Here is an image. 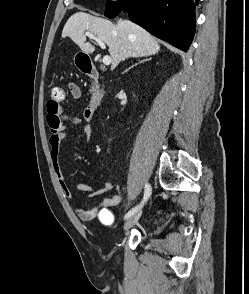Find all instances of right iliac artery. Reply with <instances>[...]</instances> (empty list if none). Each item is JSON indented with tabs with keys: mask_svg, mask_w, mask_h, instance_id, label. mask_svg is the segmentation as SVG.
<instances>
[{
	"mask_svg": "<svg viewBox=\"0 0 249 294\" xmlns=\"http://www.w3.org/2000/svg\"><path fill=\"white\" fill-rule=\"evenodd\" d=\"M151 195V186L149 184L145 185V192H144V197L142 202L135 206L134 208H132L126 215H125V219L129 218L130 216H132L133 214H135L143 205L144 203L148 200V198Z\"/></svg>",
	"mask_w": 249,
	"mask_h": 294,
	"instance_id": "obj_1",
	"label": "right iliac artery"
}]
</instances>
